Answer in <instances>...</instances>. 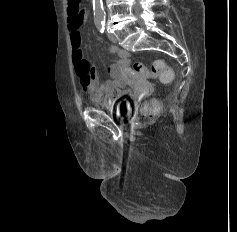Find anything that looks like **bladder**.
I'll use <instances>...</instances> for the list:
<instances>
[{"instance_id": "31cf9c89", "label": "bladder", "mask_w": 237, "mask_h": 232, "mask_svg": "<svg viewBox=\"0 0 237 232\" xmlns=\"http://www.w3.org/2000/svg\"><path fill=\"white\" fill-rule=\"evenodd\" d=\"M130 91L124 90L121 98L113 104L103 103L102 106L113 111L117 117H125L131 112L132 102L130 99Z\"/></svg>"}]
</instances>
